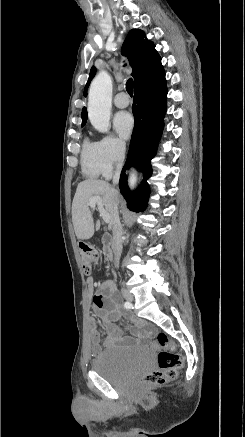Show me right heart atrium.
<instances>
[{
  "label": "right heart atrium",
  "mask_w": 245,
  "mask_h": 437,
  "mask_svg": "<svg viewBox=\"0 0 245 437\" xmlns=\"http://www.w3.org/2000/svg\"><path fill=\"white\" fill-rule=\"evenodd\" d=\"M98 159L102 167V174L108 176L119 166L125 157V143L112 135H104L97 142Z\"/></svg>",
  "instance_id": "1"
}]
</instances>
